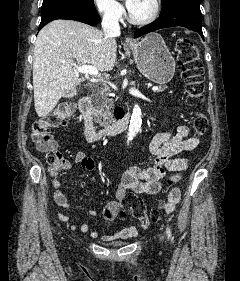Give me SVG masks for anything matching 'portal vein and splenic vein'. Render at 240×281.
Returning <instances> with one entry per match:
<instances>
[{
    "instance_id": "1",
    "label": "portal vein and splenic vein",
    "mask_w": 240,
    "mask_h": 281,
    "mask_svg": "<svg viewBox=\"0 0 240 281\" xmlns=\"http://www.w3.org/2000/svg\"><path fill=\"white\" fill-rule=\"evenodd\" d=\"M73 69L77 72H80V73L93 75V76H96V77H99V78L101 77V74L99 73V71L95 67H92V66H88V65L77 66V65H74ZM151 89L153 91H158L159 87L153 86V87H151ZM105 90H107L106 86H105Z\"/></svg>"
}]
</instances>
